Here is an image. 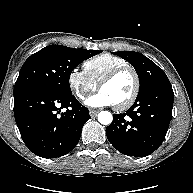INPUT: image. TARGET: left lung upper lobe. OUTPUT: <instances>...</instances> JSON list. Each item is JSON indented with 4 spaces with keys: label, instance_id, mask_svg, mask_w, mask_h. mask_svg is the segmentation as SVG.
Segmentation results:
<instances>
[{
    "label": "left lung upper lobe",
    "instance_id": "left-lung-upper-lobe-1",
    "mask_svg": "<svg viewBox=\"0 0 193 193\" xmlns=\"http://www.w3.org/2000/svg\"><path fill=\"white\" fill-rule=\"evenodd\" d=\"M114 54L128 61L135 68L140 82L138 96L144 94L155 83L167 77L164 71L153 61L139 52L118 51L114 52Z\"/></svg>",
    "mask_w": 193,
    "mask_h": 193
}]
</instances>
